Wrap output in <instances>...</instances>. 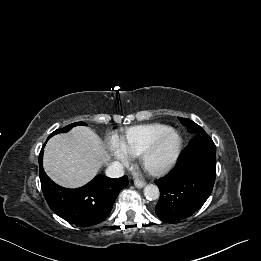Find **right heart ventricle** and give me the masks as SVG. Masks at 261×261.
Listing matches in <instances>:
<instances>
[{
    "label": "right heart ventricle",
    "mask_w": 261,
    "mask_h": 261,
    "mask_svg": "<svg viewBox=\"0 0 261 261\" xmlns=\"http://www.w3.org/2000/svg\"><path fill=\"white\" fill-rule=\"evenodd\" d=\"M169 129V126L159 123L133 126L118 140V144L127 155L140 156L159 135Z\"/></svg>",
    "instance_id": "1"
}]
</instances>
